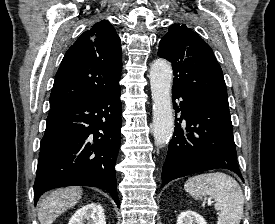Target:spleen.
I'll return each instance as SVG.
<instances>
[{
	"label": "spleen",
	"mask_w": 275,
	"mask_h": 224,
	"mask_svg": "<svg viewBox=\"0 0 275 224\" xmlns=\"http://www.w3.org/2000/svg\"><path fill=\"white\" fill-rule=\"evenodd\" d=\"M184 189L195 199L211 196L218 211L217 224H240L244 196L240 185L231 176L221 173H204L189 178Z\"/></svg>",
	"instance_id": "3e777b00"
}]
</instances>
